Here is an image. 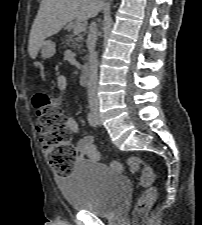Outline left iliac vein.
<instances>
[{"instance_id": "obj_1", "label": "left iliac vein", "mask_w": 202, "mask_h": 225, "mask_svg": "<svg viewBox=\"0 0 202 225\" xmlns=\"http://www.w3.org/2000/svg\"><path fill=\"white\" fill-rule=\"evenodd\" d=\"M96 123H97L99 126L101 125V120H100V117H99L98 114L96 115Z\"/></svg>"}]
</instances>
